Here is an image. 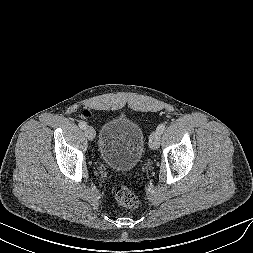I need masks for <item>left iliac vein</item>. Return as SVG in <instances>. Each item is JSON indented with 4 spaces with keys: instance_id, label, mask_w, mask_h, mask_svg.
<instances>
[{
    "instance_id": "left-iliac-vein-1",
    "label": "left iliac vein",
    "mask_w": 253,
    "mask_h": 253,
    "mask_svg": "<svg viewBox=\"0 0 253 253\" xmlns=\"http://www.w3.org/2000/svg\"><path fill=\"white\" fill-rule=\"evenodd\" d=\"M161 133L154 131L150 135L149 146L151 149L156 150L160 146Z\"/></svg>"
}]
</instances>
